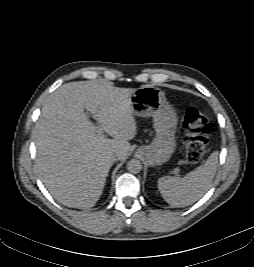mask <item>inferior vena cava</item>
<instances>
[{"instance_id":"1","label":"inferior vena cava","mask_w":254,"mask_h":267,"mask_svg":"<svg viewBox=\"0 0 254 267\" xmlns=\"http://www.w3.org/2000/svg\"><path fill=\"white\" fill-rule=\"evenodd\" d=\"M111 160H112V162L117 161V160H118V155H114V156H112Z\"/></svg>"}]
</instances>
